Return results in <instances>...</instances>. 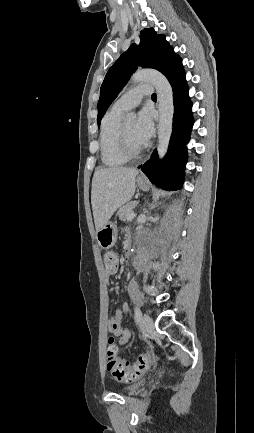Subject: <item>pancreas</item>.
Listing matches in <instances>:
<instances>
[{
  "mask_svg": "<svg viewBox=\"0 0 254 433\" xmlns=\"http://www.w3.org/2000/svg\"><path fill=\"white\" fill-rule=\"evenodd\" d=\"M138 202H130L122 206L118 211V216L121 221L128 220V216L133 213V208L137 206Z\"/></svg>",
  "mask_w": 254,
  "mask_h": 433,
  "instance_id": "cf45deb5",
  "label": "pancreas"
}]
</instances>
